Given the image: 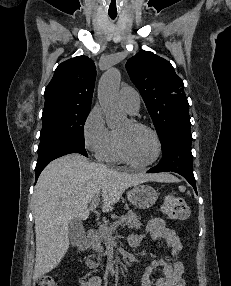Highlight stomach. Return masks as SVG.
<instances>
[{"label": "stomach", "instance_id": "stomach-1", "mask_svg": "<svg viewBox=\"0 0 231 286\" xmlns=\"http://www.w3.org/2000/svg\"><path fill=\"white\" fill-rule=\"evenodd\" d=\"M127 197L133 206L139 209H148L157 201L158 192L149 185L139 184L127 192Z\"/></svg>", "mask_w": 231, "mask_h": 286}]
</instances>
